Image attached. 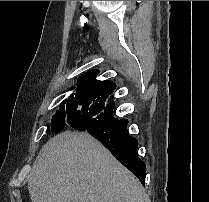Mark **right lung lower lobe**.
<instances>
[{
  "instance_id": "98d812e1",
  "label": "right lung lower lobe",
  "mask_w": 209,
  "mask_h": 202,
  "mask_svg": "<svg viewBox=\"0 0 209 202\" xmlns=\"http://www.w3.org/2000/svg\"><path fill=\"white\" fill-rule=\"evenodd\" d=\"M116 84L112 81H91L80 91L82 108L67 122L71 127L86 131L98 139L111 154L145 185L146 166L137 154L138 141L127 132V119L118 120L113 107L105 101L113 93Z\"/></svg>"
}]
</instances>
